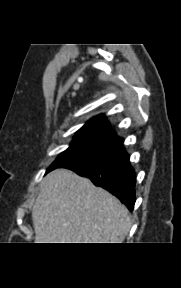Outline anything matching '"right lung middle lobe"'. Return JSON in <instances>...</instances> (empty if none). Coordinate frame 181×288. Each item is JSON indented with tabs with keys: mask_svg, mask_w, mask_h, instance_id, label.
Segmentation results:
<instances>
[{
	"mask_svg": "<svg viewBox=\"0 0 181 288\" xmlns=\"http://www.w3.org/2000/svg\"><path fill=\"white\" fill-rule=\"evenodd\" d=\"M110 158H114V154L108 150L84 142L73 141L69 148L57 157L53 164L48 168L47 172L55 168L68 166L78 162H95Z\"/></svg>",
	"mask_w": 181,
	"mask_h": 288,
	"instance_id": "right-lung-middle-lobe-1",
	"label": "right lung middle lobe"
}]
</instances>
